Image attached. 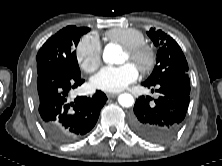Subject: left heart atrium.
Wrapping results in <instances>:
<instances>
[{"instance_id": "obj_1", "label": "left heart atrium", "mask_w": 222, "mask_h": 166, "mask_svg": "<svg viewBox=\"0 0 222 166\" xmlns=\"http://www.w3.org/2000/svg\"><path fill=\"white\" fill-rule=\"evenodd\" d=\"M139 77V71L133 63L121 66H106L93 76L92 85L102 91L115 93L124 90Z\"/></svg>"}]
</instances>
